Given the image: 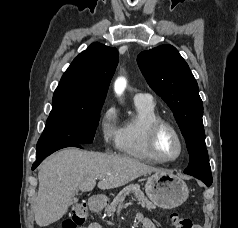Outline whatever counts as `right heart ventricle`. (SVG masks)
Returning a JSON list of instances; mask_svg holds the SVG:
<instances>
[{"label": "right heart ventricle", "instance_id": "obj_1", "mask_svg": "<svg viewBox=\"0 0 238 228\" xmlns=\"http://www.w3.org/2000/svg\"><path fill=\"white\" fill-rule=\"evenodd\" d=\"M136 114L120 126L117 149L120 153L151 163H161L148 149L147 135L152 123L162 119L154 102L134 100Z\"/></svg>", "mask_w": 238, "mask_h": 228}]
</instances>
